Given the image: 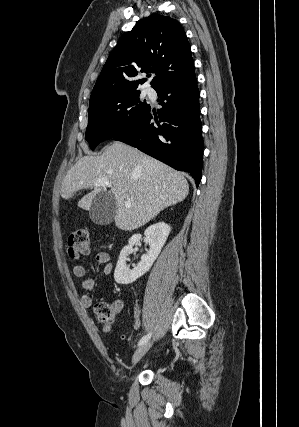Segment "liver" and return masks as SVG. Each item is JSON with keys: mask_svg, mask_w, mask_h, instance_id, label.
Listing matches in <instances>:
<instances>
[{"mask_svg": "<svg viewBox=\"0 0 299 427\" xmlns=\"http://www.w3.org/2000/svg\"><path fill=\"white\" fill-rule=\"evenodd\" d=\"M109 181L115 199V225L122 230L137 229L156 217L160 211L183 201L189 184L182 173L144 154L137 148L114 142L100 156H84L67 172L61 195L69 199L81 189H94L78 206L90 210L94 197L107 186H95ZM125 201L131 207L124 205Z\"/></svg>", "mask_w": 299, "mask_h": 427, "instance_id": "1", "label": "liver"}]
</instances>
